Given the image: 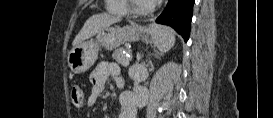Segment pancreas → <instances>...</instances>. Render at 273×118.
<instances>
[{"instance_id":"obj_1","label":"pancreas","mask_w":273,"mask_h":118,"mask_svg":"<svg viewBox=\"0 0 273 118\" xmlns=\"http://www.w3.org/2000/svg\"><path fill=\"white\" fill-rule=\"evenodd\" d=\"M130 52V50L128 48H119V49H116L113 54H112V57L114 60H116V62L118 64H121L122 66L126 67L129 65V58L126 57L125 55H123V52Z\"/></svg>"}]
</instances>
